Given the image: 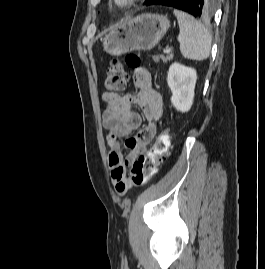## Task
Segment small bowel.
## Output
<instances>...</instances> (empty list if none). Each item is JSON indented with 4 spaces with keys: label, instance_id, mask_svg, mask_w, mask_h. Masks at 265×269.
Wrapping results in <instances>:
<instances>
[{
    "label": "small bowel",
    "instance_id": "small-bowel-1",
    "mask_svg": "<svg viewBox=\"0 0 265 269\" xmlns=\"http://www.w3.org/2000/svg\"><path fill=\"white\" fill-rule=\"evenodd\" d=\"M134 84L138 88L135 94L118 95L104 92L102 99L106 104L103 113V126L107 131L109 146L108 163L111 171V181L118 191L119 187L128 189L126 167L141 153L153 140L156 133L155 121L162 115V97L155 90L151 75L145 68L135 70ZM132 104L140 106L143 117L148 122L137 135L142 122V116L132 109ZM122 144L129 150L126 158L122 153Z\"/></svg>",
    "mask_w": 265,
    "mask_h": 269
}]
</instances>
